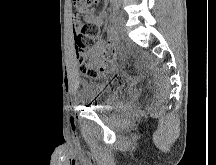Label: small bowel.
I'll list each match as a JSON object with an SVG mask.
<instances>
[{
    "mask_svg": "<svg viewBox=\"0 0 216 165\" xmlns=\"http://www.w3.org/2000/svg\"><path fill=\"white\" fill-rule=\"evenodd\" d=\"M105 17V11L103 9H92L87 14V22L93 23L97 26L102 25ZM80 27V21L77 15L74 16L73 33L74 37L78 33ZM94 50L98 53L110 52L113 54L112 49H107L105 43L101 40L97 41L94 45ZM84 92L89 95V90H87V85L84 86Z\"/></svg>",
    "mask_w": 216,
    "mask_h": 165,
    "instance_id": "c3829d8e",
    "label": "small bowel"
}]
</instances>
